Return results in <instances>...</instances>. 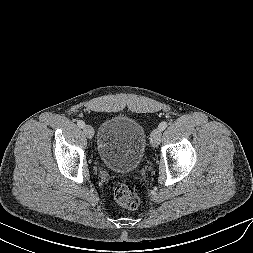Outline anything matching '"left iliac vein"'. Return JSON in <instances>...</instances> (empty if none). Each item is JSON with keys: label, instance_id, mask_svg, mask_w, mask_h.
<instances>
[{"label": "left iliac vein", "instance_id": "left-iliac-vein-1", "mask_svg": "<svg viewBox=\"0 0 253 253\" xmlns=\"http://www.w3.org/2000/svg\"><path fill=\"white\" fill-rule=\"evenodd\" d=\"M161 136H162V131L159 128L154 129L152 131L151 136H150V142L153 147H157L160 144Z\"/></svg>", "mask_w": 253, "mask_h": 253}]
</instances>
